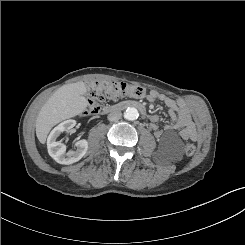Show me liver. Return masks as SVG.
Returning <instances> with one entry per match:
<instances>
[{
	"instance_id": "6515ba94",
	"label": "liver",
	"mask_w": 245,
	"mask_h": 245,
	"mask_svg": "<svg viewBox=\"0 0 245 245\" xmlns=\"http://www.w3.org/2000/svg\"><path fill=\"white\" fill-rule=\"evenodd\" d=\"M84 82H76L60 87L42 106L36 119V136L40 143L46 142L52 127L59 122L75 117L87 107Z\"/></svg>"
}]
</instances>
